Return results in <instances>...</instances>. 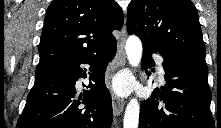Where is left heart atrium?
<instances>
[{"mask_svg": "<svg viewBox=\"0 0 221 128\" xmlns=\"http://www.w3.org/2000/svg\"><path fill=\"white\" fill-rule=\"evenodd\" d=\"M130 83L124 76L118 77L114 82V89L118 94H125L129 89Z\"/></svg>", "mask_w": 221, "mask_h": 128, "instance_id": "1", "label": "left heart atrium"}]
</instances>
